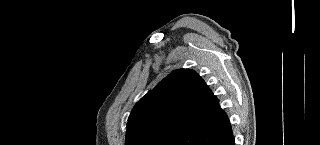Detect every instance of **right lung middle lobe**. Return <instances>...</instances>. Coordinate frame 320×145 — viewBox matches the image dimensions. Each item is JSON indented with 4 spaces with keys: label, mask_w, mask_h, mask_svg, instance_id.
<instances>
[{
    "label": "right lung middle lobe",
    "mask_w": 320,
    "mask_h": 145,
    "mask_svg": "<svg viewBox=\"0 0 320 145\" xmlns=\"http://www.w3.org/2000/svg\"><path fill=\"white\" fill-rule=\"evenodd\" d=\"M177 133L178 132H174V131L156 133L144 138L143 140L139 141L136 145H167V143Z\"/></svg>",
    "instance_id": "dd1d6c3e"
}]
</instances>
